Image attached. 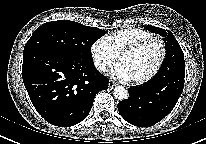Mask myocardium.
<instances>
[{
    "instance_id": "myocardium-1",
    "label": "myocardium",
    "mask_w": 206,
    "mask_h": 144,
    "mask_svg": "<svg viewBox=\"0 0 206 144\" xmlns=\"http://www.w3.org/2000/svg\"><path fill=\"white\" fill-rule=\"evenodd\" d=\"M150 44H156L159 47L158 60L155 64V66L153 67V69L147 75H145L144 77H142L140 79L133 80L134 84H136V85H143V84L151 81L159 73V71L164 63L165 57H166L165 43L157 37H150V38L144 39L142 41L136 42L134 44H131L129 46H126L118 54V60L120 61L123 56L138 52Z\"/></svg>"
}]
</instances>
